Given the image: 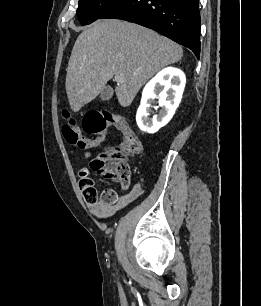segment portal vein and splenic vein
<instances>
[{
    "label": "portal vein and splenic vein",
    "mask_w": 261,
    "mask_h": 306,
    "mask_svg": "<svg viewBox=\"0 0 261 306\" xmlns=\"http://www.w3.org/2000/svg\"><path fill=\"white\" fill-rule=\"evenodd\" d=\"M114 80H115L116 82H122V81H123L122 77L119 76V75H115Z\"/></svg>",
    "instance_id": "1"
}]
</instances>
